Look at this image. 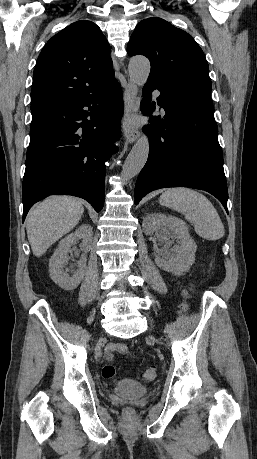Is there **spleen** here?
Wrapping results in <instances>:
<instances>
[{
    "label": "spleen",
    "mask_w": 257,
    "mask_h": 459,
    "mask_svg": "<svg viewBox=\"0 0 257 459\" xmlns=\"http://www.w3.org/2000/svg\"><path fill=\"white\" fill-rule=\"evenodd\" d=\"M159 202L183 213L202 238L215 241L224 236L220 216L203 194L190 188H170L160 196Z\"/></svg>",
    "instance_id": "3e777b00"
}]
</instances>
